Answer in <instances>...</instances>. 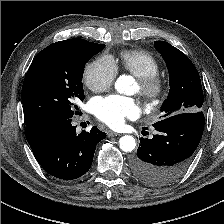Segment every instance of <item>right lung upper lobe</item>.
Here are the masks:
<instances>
[{
    "label": "right lung upper lobe",
    "mask_w": 224,
    "mask_h": 224,
    "mask_svg": "<svg viewBox=\"0 0 224 224\" xmlns=\"http://www.w3.org/2000/svg\"><path fill=\"white\" fill-rule=\"evenodd\" d=\"M84 39H68L60 42L53 43L49 45L50 47H58V48H70L78 45H82L85 43Z\"/></svg>",
    "instance_id": "right-lung-upper-lobe-1"
}]
</instances>
